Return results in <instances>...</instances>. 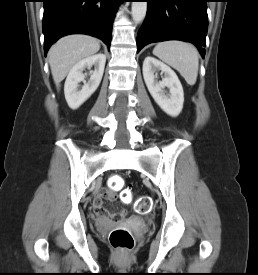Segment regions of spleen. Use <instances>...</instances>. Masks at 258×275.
Here are the masks:
<instances>
[{"label":"spleen","instance_id":"spleen-1","mask_svg":"<svg viewBox=\"0 0 258 275\" xmlns=\"http://www.w3.org/2000/svg\"><path fill=\"white\" fill-rule=\"evenodd\" d=\"M153 54L179 71L187 84L196 83L199 58L193 45L176 40L164 41L155 46Z\"/></svg>","mask_w":258,"mask_h":275}]
</instances>
